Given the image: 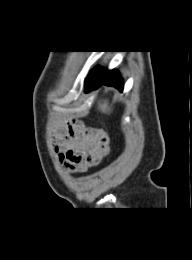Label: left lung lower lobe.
<instances>
[{"mask_svg": "<svg viewBox=\"0 0 192 260\" xmlns=\"http://www.w3.org/2000/svg\"><path fill=\"white\" fill-rule=\"evenodd\" d=\"M114 86L120 91L123 90L122 78L115 70H106L101 67H96L88 76L85 83V92H90L97 89L101 85Z\"/></svg>", "mask_w": 192, "mask_h": 260, "instance_id": "1", "label": "left lung lower lobe"}]
</instances>
